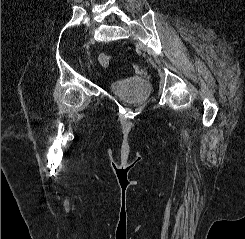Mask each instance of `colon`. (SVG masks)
<instances>
[{
  "instance_id": "1",
  "label": "colon",
  "mask_w": 245,
  "mask_h": 239,
  "mask_svg": "<svg viewBox=\"0 0 245 239\" xmlns=\"http://www.w3.org/2000/svg\"><path fill=\"white\" fill-rule=\"evenodd\" d=\"M99 62L102 66H108L111 62V56L108 54H101L99 56Z\"/></svg>"
}]
</instances>
